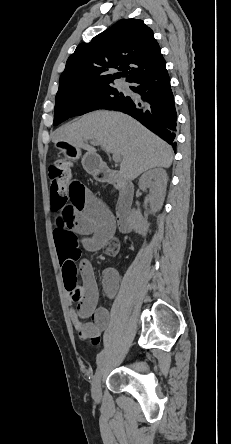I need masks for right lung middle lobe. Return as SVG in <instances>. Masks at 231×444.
<instances>
[{
  "mask_svg": "<svg viewBox=\"0 0 231 444\" xmlns=\"http://www.w3.org/2000/svg\"><path fill=\"white\" fill-rule=\"evenodd\" d=\"M125 97L111 84L58 94L53 125L56 126L70 117L93 110L110 109Z\"/></svg>",
  "mask_w": 231,
  "mask_h": 444,
  "instance_id": "1",
  "label": "right lung middle lobe"
}]
</instances>
